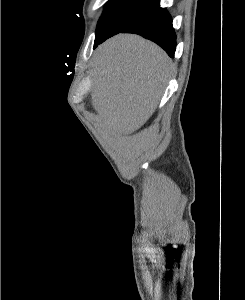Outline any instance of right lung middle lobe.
<instances>
[{
    "mask_svg": "<svg viewBox=\"0 0 245 300\" xmlns=\"http://www.w3.org/2000/svg\"><path fill=\"white\" fill-rule=\"evenodd\" d=\"M159 7V1L109 0L99 19L95 41L114 35Z\"/></svg>",
    "mask_w": 245,
    "mask_h": 300,
    "instance_id": "obj_1",
    "label": "right lung middle lobe"
}]
</instances>
